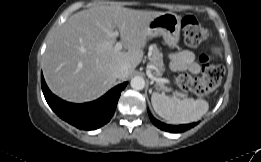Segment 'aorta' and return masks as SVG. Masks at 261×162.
<instances>
[{"label":"aorta","mask_w":261,"mask_h":162,"mask_svg":"<svg viewBox=\"0 0 261 162\" xmlns=\"http://www.w3.org/2000/svg\"><path fill=\"white\" fill-rule=\"evenodd\" d=\"M130 85L135 90H142L145 87V80L141 76H135L131 79Z\"/></svg>","instance_id":"762f6f07"}]
</instances>
